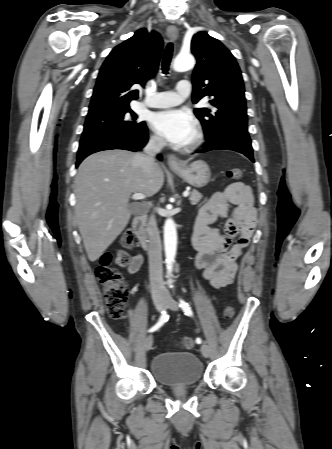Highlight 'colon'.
I'll return each mask as SVG.
<instances>
[{
    "instance_id": "1",
    "label": "colon",
    "mask_w": 332,
    "mask_h": 449,
    "mask_svg": "<svg viewBox=\"0 0 332 449\" xmlns=\"http://www.w3.org/2000/svg\"><path fill=\"white\" fill-rule=\"evenodd\" d=\"M242 175L243 172L240 168H231L227 171L228 178L232 180H240ZM133 242L134 237L129 230L126 231L120 239V243L124 248H130L133 245ZM123 252L124 251H118L115 257V262L119 265H124L126 263L125 257L119 256L123 254ZM111 263L112 255L105 254L96 270V275L104 289V298L109 316L113 319L120 320L125 316V308L128 300V289L121 273L117 269L113 268ZM233 316V306H226L223 311L224 319L230 320ZM193 344L192 338L184 337L177 343V347L181 349H190L193 347Z\"/></svg>"
}]
</instances>
